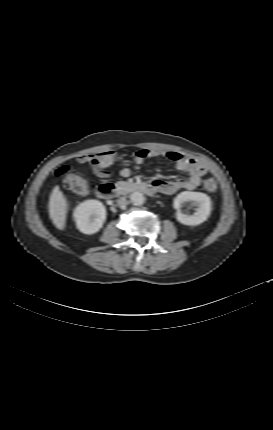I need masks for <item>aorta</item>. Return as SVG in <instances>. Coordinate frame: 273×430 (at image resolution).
Returning <instances> with one entry per match:
<instances>
[{"label":"aorta","instance_id":"aorta-1","mask_svg":"<svg viewBox=\"0 0 273 430\" xmlns=\"http://www.w3.org/2000/svg\"><path fill=\"white\" fill-rule=\"evenodd\" d=\"M131 202L136 206H141L145 203V197L140 192H134L130 195Z\"/></svg>","mask_w":273,"mask_h":430}]
</instances>
